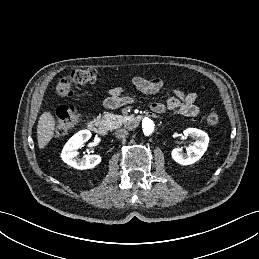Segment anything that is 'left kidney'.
<instances>
[{
  "mask_svg": "<svg viewBox=\"0 0 259 259\" xmlns=\"http://www.w3.org/2000/svg\"><path fill=\"white\" fill-rule=\"evenodd\" d=\"M183 134L186 137L190 136L195 139L194 144L187 149V154H184L181 149L175 148L171 155L177 163L190 165L203 156L208 147L209 137L206 132L196 128H187L183 131Z\"/></svg>",
  "mask_w": 259,
  "mask_h": 259,
  "instance_id": "1",
  "label": "left kidney"
}]
</instances>
